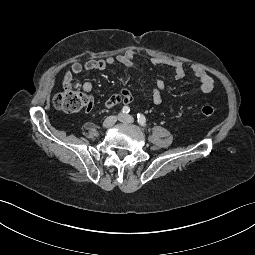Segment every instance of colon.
<instances>
[{
	"mask_svg": "<svg viewBox=\"0 0 255 255\" xmlns=\"http://www.w3.org/2000/svg\"><path fill=\"white\" fill-rule=\"evenodd\" d=\"M53 103L58 110L68 113L89 109L92 105L90 97L70 81H65L64 89L55 95ZM200 112L206 117H212L215 114V109L211 105H203Z\"/></svg>",
	"mask_w": 255,
	"mask_h": 255,
	"instance_id": "obj_1",
	"label": "colon"
}]
</instances>
